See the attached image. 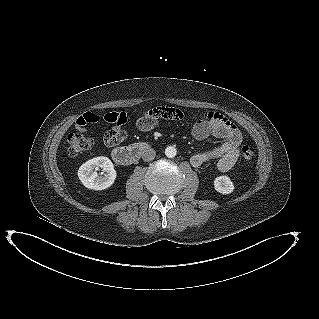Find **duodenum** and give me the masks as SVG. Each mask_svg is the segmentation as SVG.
Returning a JSON list of instances; mask_svg holds the SVG:
<instances>
[{"instance_id":"duodenum-1","label":"duodenum","mask_w":319,"mask_h":319,"mask_svg":"<svg viewBox=\"0 0 319 319\" xmlns=\"http://www.w3.org/2000/svg\"><path fill=\"white\" fill-rule=\"evenodd\" d=\"M149 149V145L145 142H136L125 147H116L112 151L114 161L120 165H130Z\"/></svg>"}]
</instances>
